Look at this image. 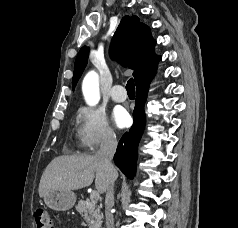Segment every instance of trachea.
<instances>
[{"instance_id":"1","label":"trachea","mask_w":238,"mask_h":228,"mask_svg":"<svg viewBox=\"0 0 238 228\" xmlns=\"http://www.w3.org/2000/svg\"><path fill=\"white\" fill-rule=\"evenodd\" d=\"M128 95L135 96V85L133 78L129 79L126 85Z\"/></svg>"}]
</instances>
